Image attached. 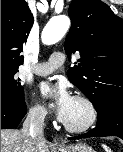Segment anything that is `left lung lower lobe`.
<instances>
[{
	"label": "left lung lower lobe",
	"instance_id": "left-lung-lower-lobe-1",
	"mask_svg": "<svg viewBox=\"0 0 123 152\" xmlns=\"http://www.w3.org/2000/svg\"><path fill=\"white\" fill-rule=\"evenodd\" d=\"M97 126L86 134L70 137L69 140L117 136L123 139V98H110L98 108Z\"/></svg>",
	"mask_w": 123,
	"mask_h": 152
}]
</instances>
